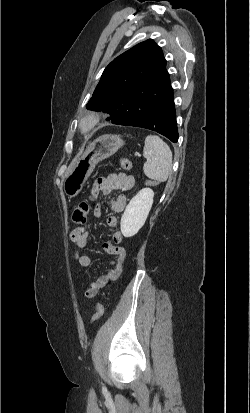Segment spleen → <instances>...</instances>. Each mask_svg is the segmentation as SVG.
Masks as SVG:
<instances>
[{
    "mask_svg": "<svg viewBox=\"0 0 250 413\" xmlns=\"http://www.w3.org/2000/svg\"><path fill=\"white\" fill-rule=\"evenodd\" d=\"M143 156L146 158L144 174L157 182L166 181L172 169V152L169 146L159 136L149 134L145 138Z\"/></svg>",
    "mask_w": 250,
    "mask_h": 413,
    "instance_id": "obj_1",
    "label": "spleen"
}]
</instances>
